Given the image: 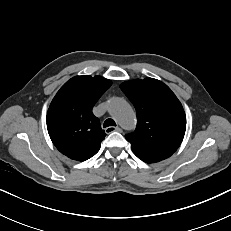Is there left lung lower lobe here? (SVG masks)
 Segmentation results:
<instances>
[{"mask_svg": "<svg viewBox=\"0 0 231 231\" xmlns=\"http://www.w3.org/2000/svg\"><path fill=\"white\" fill-rule=\"evenodd\" d=\"M146 163H154V162H158V160H152V159H141Z\"/></svg>", "mask_w": 231, "mask_h": 231, "instance_id": "obj_1", "label": "left lung lower lobe"}]
</instances>
